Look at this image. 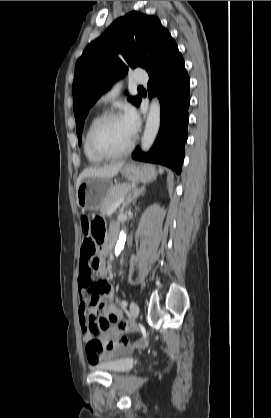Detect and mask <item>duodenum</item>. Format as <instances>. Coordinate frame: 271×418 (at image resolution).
<instances>
[{
	"instance_id": "410a0bca",
	"label": "duodenum",
	"mask_w": 271,
	"mask_h": 418,
	"mask_svg": "<svg viewBox=\"0 0 271 418\" xmlns=\"http://www.w3.org/2000/svg\"><path fill=\"white\" fill-rule=\"evenodd\" d=\"M117 238H118V231H117V229H114L112 232H111V237H110V241H109V247L110 248H112L113 246H114V244L116 243V241H117Z\"/></svg>"
}]
</instances>
